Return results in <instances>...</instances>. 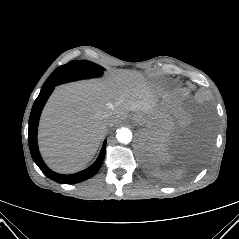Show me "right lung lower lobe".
Returning <instances> with one entry per match:
<instances>
[{
	"instance_id": "right-lung-lower-lobe-1",
	"label": "right lung lower lobe",
	"mask_w": 239,
	"mask_h": 239,
	"mask_svg": "<svg viewBox=\"0 0 239 239\" xmlns=\"http://www.w3.org/2000/svg\"><path fill=\"white\" fill-rule=\"evenodd\" d=\"M53 89L54 88H49V89L40 91L37 99L35 100L33 104L30 118H29V129H28V140H29L30 152L37 166L48 178L61 184L79 183L91 178L100 169L105 156L106 140L103 143L101 152L97 160L89 168L71 175L58 174L50 170L43 162L38 150L37 129H38V122H39L41 111L47 99L49 98L50 94L52 93Z\"/></svg>"
}]
</instances>
